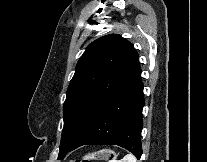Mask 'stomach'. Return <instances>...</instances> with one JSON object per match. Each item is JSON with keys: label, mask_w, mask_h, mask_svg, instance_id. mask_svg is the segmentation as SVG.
<instances>
[{"label": "stomach", "mask_w": 207, "mask_h": 162, "mask_svg": "<svg viewBox=\"0 0 207 162\" xmlns=\"http://www.w3.org/2000/svg\"><path fill=\"white\" fill-rule=\"evenodd\" d=\"M113 154H114V152L109 150V149H102V150H99L97 152H93V153H90V154L86 155L85 157L87 159H84V160H92V159L108 160V159L111 158V156Z\"/></svg>", "instance_id": "1"}]
</instances>
